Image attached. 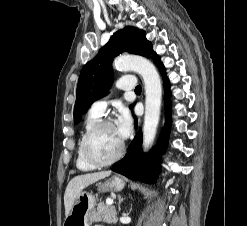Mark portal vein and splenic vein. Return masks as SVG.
<instances>
[{
  "instance_id": "1",
  "label": "portal vein and splenic vein",
  "mask_w": 247,
  "mask_h": 226,
  "mask_svg": "<svg viewBox=\"0 0 247 226\" xmlns=\"http://www.w3.org/2000/svg\"><path fill=\"white\" fill-rule=\"evenodd\" d=\"M106 203L109 204V205H112V204H113V200L110 199V198H108V199L106 200Z\"/></svg>"
}]
</instances>
